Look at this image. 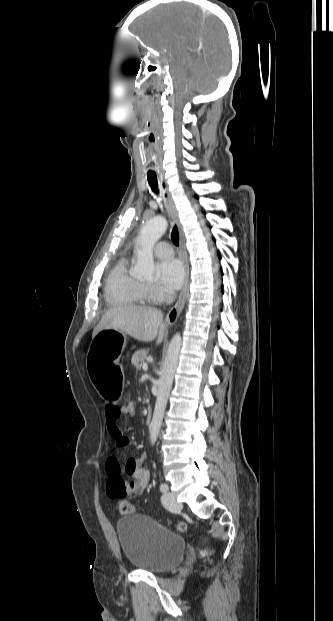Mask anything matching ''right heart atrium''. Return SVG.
<instances>
[{
  "label": "right heart atrium",
  "mask_w": 333,
  "mask_h": 621,
  "mask_svg": "<svg viewBox=\"0 0 333 621\" xmlns=\"http://www.w3.org/2000/svg\"><path fill=\"white\" fill-rule=\"evenodd\" d=\"M145 289L148 294L150 300L154 302H159L163 300L166 296V293L159 286L154 284H145Z\"/></svg>",
  "instance_id": "d8ad5b80"
}]
</instances>
